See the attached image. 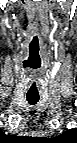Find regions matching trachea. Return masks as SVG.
<instances>
[{
    "instance_id": "trachea-1",
    "label": "trachea",
    "mask_w": 77,
    "mask_h": 143,
    "mask_svg": "<svg viewBox=\"0 0 77 143\" xmlns=\"http://www.w3.org/2000/svg\"><path fill=\"white\" fill-rule=\"evenodd\" d=\"M39 95H27V101L30 105H35L39 101Z\"/></svg>"
}]
</instances>
